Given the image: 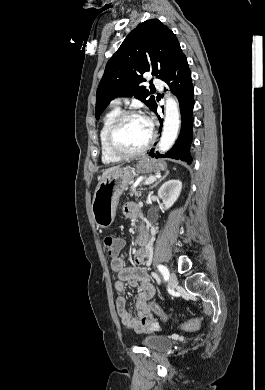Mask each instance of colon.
<instances>
[{"instance_id": "colon-1", "label": "colon", "mask_w": 265, "mask_h": 390, "mask_svg": "<svg viewBox=\"0 0 265 390\" xmlns=\"http://www.w3.org/2000/svg\"><path fill=\"white\" fill-rule=\"evenodd\" d=\"M102 243H103V247H104L107 255L114 257L117 254L118 250L116 247V239L114 237L105 236L103 238ZM149 305H150V308L154 314L162 317L163 319H167L166 314L163 312V310L161 309V307L157 303L152 302ZM200 323H201L200 318L196 317V318L191 319L187 322L181 323L179 325V327L183 330H186V331H193V330L198 329V327L200 326Z\"/></svg>"}]
</instances>
